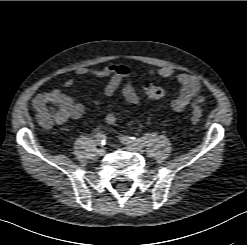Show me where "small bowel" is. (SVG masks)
Here are the masks:
<instances>
[{
  "label": "small bowel",
  "mask_w": 247,
  "mask_h": 245,
  "mask_svg": "<svg viewBox=\"0 0 247 245\" xmlns=\"http://www.w3.org/2000/svg\"><path fill=\"white\" fill-rule=\"evenodd\" d=\"M77 75H92L99 78H108L106 84L102 87V93L105 96H112L118 88L121 87L124 98L133 106H139L141 98L132 83L130 82V69L124 65L110 64L99 69L89 67H79L75 70ZM148 74L151 76H158L161 78H174L180 85L181 89L178 95L172 101V108L176 112H183L188 108L200 105L203 100L201 92V83L199 79L189 73H176L170 67H159L148 69ZM75 81L71 78L64 81L66 88H71ZM53 93L63 95L71 104L70 119H78L84 113V106L80 102L74 101L69 95L62 93L60 90H53ZM46 93L39 94L36 101ZM98 129H95L97 131Z\"/></svg>",
  "instance_id": "1"
}]
</instances>
